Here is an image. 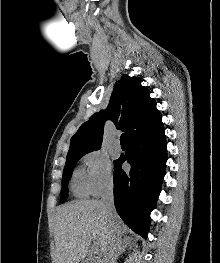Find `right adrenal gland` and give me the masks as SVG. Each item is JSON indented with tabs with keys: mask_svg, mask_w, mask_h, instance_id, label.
<instances>
[{
	"mask_svg": "<svg viewBox=\"0 0 220 263\" xmlns=\"http://www.w3.org/2000/svg\"><path fill=\"white\" fill-rule=\"evenodd\" d=\"M129 244H130V240L129 239H125L123 241L122 245L119 248L118 255H121L123 252H125V250L127 249Z\"/></svg>",
	"mask_w": 220,
	"mask_h": 263,
	"instance_id": "2a0ac1e0",
	"label": "right adrenal gland"
}]
</instances>
